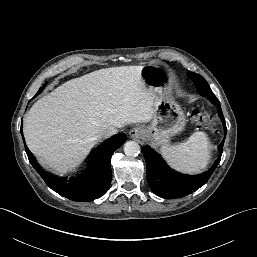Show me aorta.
Listing matches in <instances>:
<instances>
[{"mask_svg":"<svg viewBox=\"0 0 257 257\" xmlns=\"http://www.w3.org/2000/svg\"><path fill=\"white\" fill-rule=\"evenodd\" d=\"M124 152L127 156H137L140 153V146L136 141H128L124 144Z\"/></svg>","mask_w":257,"mask_h":257,"instance_id":"obj_1","label":"aorta"}]
</instances>
